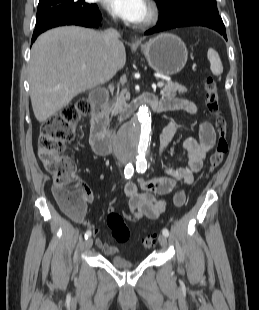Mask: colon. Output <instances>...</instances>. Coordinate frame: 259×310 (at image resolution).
<instances>
[{
  "label": "colon",
  "mask_w": 259,
  "mask_h": 310,
  "mask_svg": "<svg viewBox=\"0 0 259 310\" xmlns=\"http://www.w3.org/2000/svg\"><path fill=\"white\" fill-rule=\"evenodd\" d=\"M205 106L215 117L216 139L214 151L205 168V177L213 174L222 163L228 151L227 123L221 113L217 84L212 77L205 81ZM89 102L81 99L74 104L65 106L61 113L49 118L42 125L38 139L39 159L46 171L53 177V196L71 218L77 220L84 214L87 193L84 184L76 175L73 159L63 153L66 143L75 132V125L79 117L89 110ZM107 226L113 238L119 243L129 240L130 231L124 218L115 211H109ZM156 243V235L150 234L143 239L146 249Z\"/></svg>",
  "instance_id": "obj_1"
}]
</instances>
